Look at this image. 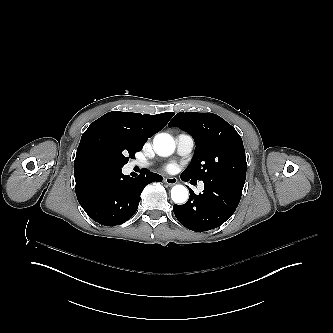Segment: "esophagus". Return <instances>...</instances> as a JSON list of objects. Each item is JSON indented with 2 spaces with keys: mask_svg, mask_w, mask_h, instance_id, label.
Here are the masks:
<instances>
[{
  "mask_svg": "<svg viewBox=\"0 0 333 333\" xmlns=\"http://www.w3.org/2000/svg\"><path fill=\"white\" fill-rule=\"evenodd\" d=\"M178 179L176 177H167L164 179V182L167 183L168 185H174L176 184Z\"/></svg>",
  "mask_w": 333,
  "mask_h": 333,
  "instance_id": "34e87169",
  "label": "esophagus"
}]
</instances>
